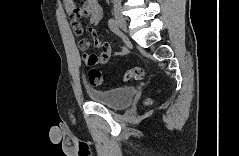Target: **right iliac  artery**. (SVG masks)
Instances as JSON below:
<instances>
[{
    "instance_id": "82829eb1",
    "label": "right iliac artery",
    "mask_w": 239,
    "mask_h": 156,
    "mask_svg": "<svg viewBox=\"0 0 239 156\" xmlns=\"http://www.w3.org/2000/svg\"><path fill=\"white\" fill-rule=\"evenodd\" d=\"M108 25L110 27V29L112 30V32H114L117 35H120V30H119V26L118 23L116 22V20H114L113 18H111L108 21Z\"/></svg>"
}]
</instances>
